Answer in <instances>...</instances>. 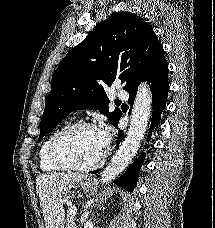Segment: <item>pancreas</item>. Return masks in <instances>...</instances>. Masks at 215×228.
Returning a JSON list of instances; mask_svg holds the SVG:
<instances>
[{
  "label": "pancreas",
  "mask_w": 215,
  "mask_h": 228,
  "mask_svg": "<svg viewBox=\"0 0 215 228\" xmlns=\"http://www.w3.org/2000/svg\"><path fill=\"white\" fill-rule=\"evenodd\" d=\"M75 216H73L71 210H67L66 214V228H75Z\"/></svg>",
  "instance_id": "pancreas-1"
}]
</instances>
